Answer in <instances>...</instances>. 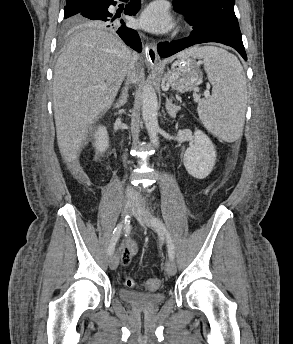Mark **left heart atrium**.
Segmentation results:
<instances>
[{
	"mask_svg": "<svg viewBox=\"0 0 293 344\" xmlns=\"http://www.w3.org/2000/svg\"><path fill=\"white\" fill-rule=\"evenodd\" d=\"M140 22L145 28L155 32L165 31L171 25L170 17L160 3L151 5L142 15Z\"/></svg>",
	"mask_w": 293,
	"mask_h": 344,
	"instance_id": "1",
	"label": "left heart atrium"
}]
</instances>
